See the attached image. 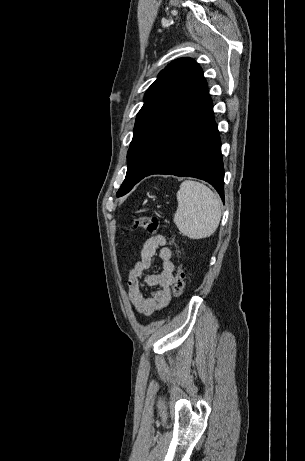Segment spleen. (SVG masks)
I'll use <instances>...</instances> for the list:
<instances>
[{
	"label": "spleen",
	"instance_id": "obj_1",
	"mask_svg": "<svg viewBox=\"0 0 305 461\" xmlns=\"http://www.w3.org/2000/svg\"><path fill=\"white\" fill-rule=\"evenodd\" d=\"M177 201L173 220L183 235L202 239L216 231L221 220V203L210 188L200 182L186 180L180 185Z\"/></svg>",
	"mask_w": 305,
	"mask_h": 461
}]
</instances>
